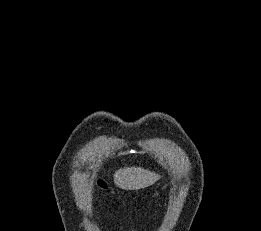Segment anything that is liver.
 Listing matches in <instances>:
<instances>
[{
  "instance_id": "obj_1",
  "label": "liver",
  "mask_w": 261,
  "mask_h": 231,
  "mask_svg": "<svg viewBox=\"0 0 261 231\" xmlns=\"http://www.w3.org/2000/svg\"><path fill=\"white\" fill-rule=\"evenodd\" d=\"M161 176L140 167L121 168L114 174V183L124 190H138L154 184Z\"/></svg>"
}]
</instances>
